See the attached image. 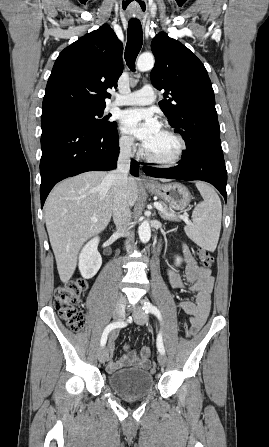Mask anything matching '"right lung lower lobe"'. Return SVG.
Returning <instances> with one entry per match:
<instances>
[{"mask_svg": "<svg viewBox=\"0 0 269 447\" xmlns=\"http://www.w3.org/2000/svg\"><path fill=\"white\" fill-rule=\"evenodd\" d=\"M41 127V207L54 185L64 178L116 168L119 155L117 130H95L64 111L43 113ZM138 168L139 164L132 160L130 173L138 176Z\"/></svg>", "mask_w": 269, "mask_h": 447, "instance_id": "98d812e1", "label": "right lung lower lobe"}]
</instances>
